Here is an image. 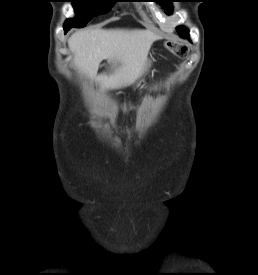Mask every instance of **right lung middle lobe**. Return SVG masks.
<instances>
[{"label":"right lung middle lobe","mask_w":258,"mask_h":275,"mask_svg":"<svg viewBox=\"0 0 258 275\" xmlns=\"http://www.w3.org/2000/svg\"><path fill=\"white\" fill-rule=\"evenodd\" d=\"M76 17L66 20L64 26L84 27L94 16L108 12L115 0H71Z\"/></svg>","instance_id":"obj_1"}]
</instances>
